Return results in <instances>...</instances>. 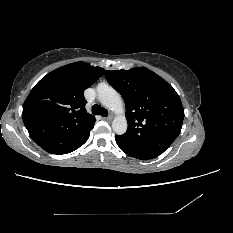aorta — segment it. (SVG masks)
<instances>
[{
  "label": "aorta",
  "mask_w": 233,
  "mask_h": 233,
  "mask_svg": "<svg viewBox=\"0 0 233 233\" xmlns=\"http://www.w3.org/2000/svg\"><path fill=\"white\" fill-rule=\"evenodd\" d=\"M98 99L107 108L116 113L112 122L113 131L122 135L127 131V120L123 114V101L120 94L111 86L101 83L97 87Z\"/></svg>",
  "instance_id": "obj_1"
}]
</instances>
